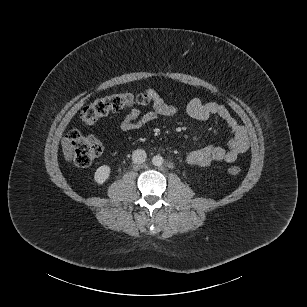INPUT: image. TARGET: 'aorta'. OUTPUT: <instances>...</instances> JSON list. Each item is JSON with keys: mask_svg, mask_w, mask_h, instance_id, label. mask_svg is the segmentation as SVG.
Here are the masks:
<instances>
[{"mask_svg": "<svg viewBox=\"0 0 307 307\" xmlns=\"http://www.w3.org/2000/svg\"><path fill=\"white\" fill-rule=\"evenodd\" d=\"M152 163L154 166H161L164 163V159L161 155H156L152 158Z\"/></svg>", "mask_w": 307, "mask_h": 307, "instance_id": "aorta-1", "label": "aorta"}]
</instances>
